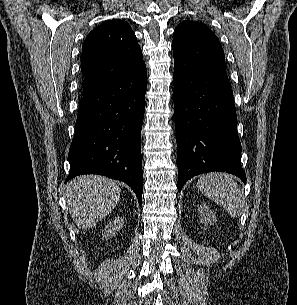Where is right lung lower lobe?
Instances as JSON below:
<instances>
[{"mask_svg": "<svg viewBox=\"0 0 297 305\" xmlns=\"http://www.w3.org/2000/svg\"><path fill=\"white\" fill-rule=\"evenodd\" d=\"M147 69L83 94L69 149L67 181L100 174L127 183L142 201L141 128Z\"/></svg>", "mask_w": 297, "mask_h": 305, "instance_id": "obj_1", "label": "right lung lower lobe"}]
</instances>
